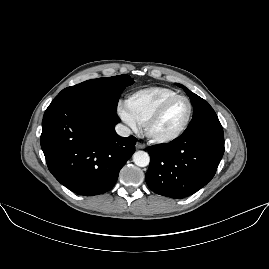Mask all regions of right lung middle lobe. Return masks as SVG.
<instances>
[{"mask_svg":"<svg viewBox=\"0 0 269 269\" xmlns=\"http://www.w3.org/2000/svg\"><path fill=\"white\" fill-rule=\"evenodd\" d=\"M133 83L134 80L125 74L97 78L67 87L58 96L90 100L116 110L121 93L125 87Z\"/></svg>","mask_w":269,"mask_h":269,"instance_id":"1","label":"right lung middle lobe"}]
</instances>
